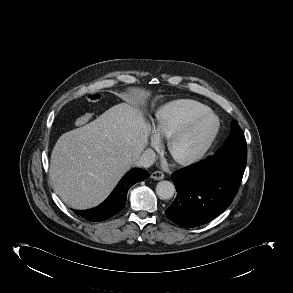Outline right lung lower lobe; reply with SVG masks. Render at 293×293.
<instances>
[{
	"mask_svg": "<svg viewBox=\"0 0 293 293\" xmlns=\"http://www.w3.org/2000/svg\"><path fill=\"white\" fill-rule=\"evenodd\" d=\"M148 177L149 173L146 170L134 168L125 174L110 196L102 204L89 210H74V213L82 216L88 221H103L109 219L124 208L128 189L135 183L143 181Z\"/></svg>",
	"mask_w": 293,
	"mask_h": 293,
	"instance_id": "1",
	"label": "right lung lower lobe"
}]
</instances>
